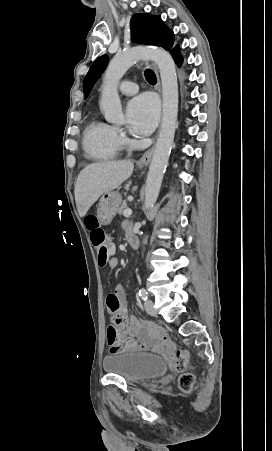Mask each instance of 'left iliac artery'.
Wrapping results in <instances>:
<instances>
[{
    "mask_svg": "<svg viewBox=\"0 0 272 451\" xmlns=\"http://www.w3.org/2000/svg\"><path fill=\"white\" fill-rule=\"evenodd\" d=\"M139 296L141 297V299L143 301H145L148 298V293H147V291L144 288H140L139 289Z\"/></svg>",
    "mask_w": 272,
    "mask_h": 451,
    "instance_id": "left-iliac-artery-1",
    "label": "left iliac artery"
}]
</instances>
